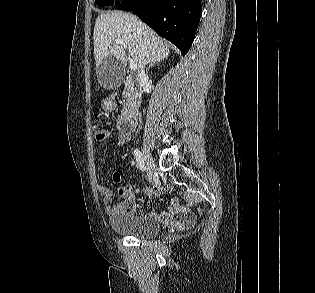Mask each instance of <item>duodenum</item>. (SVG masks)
Instances as JSON below:
<instances>
[{
    "label": "duodenum",
    "instance_id": "1",
    "mask_svg": "<svg viewBox=\"0 0 315 293\" xmlns=\"http://www.w3.org/2000/svg\"><path fill=\"white\" fill-rule=\"evenodd\" d=\"M137 113L135 110L125 113L119 120L118 127L122 133L129 134L135 128L137 122Z\"/></svg>",
    "mask_w": 315,
    "mask_h": 293
}]
</instances>
